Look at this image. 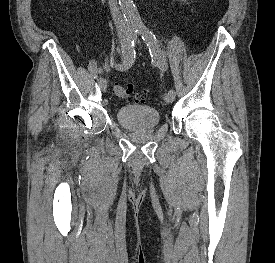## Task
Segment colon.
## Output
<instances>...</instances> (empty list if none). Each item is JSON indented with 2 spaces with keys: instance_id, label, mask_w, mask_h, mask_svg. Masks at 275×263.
I'll use <instances>...</instances> for the list:
<instances>
[{
  "instance_id": "1",
  "label": "colon",
  "mask_w": 275,
  "mask_h": 263,
  "mask_svg": "<svg viewBox=\"0 0 275 263\" xmlns=\"http://www.w3.org/2000/svg\"><path fill=\"white\" fill-rule=\"evenodd\" d=\"M113 91L115 96L122 100H134L136 102L143 103L149 99L147 92L132 90L121 85H115L113 87Z\"/></svg>"
}]
</instances>
